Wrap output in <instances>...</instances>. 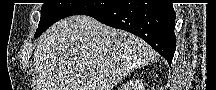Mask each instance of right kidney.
Segmentation results:
<instances>
[{"instance_id": "right-kidney-1", "label": "right kidney", "mask_w": 216, "mask_h": 90, "mask_svg": "<svg viewBox=\"0 0 216 90\" xmlns=\"http://www.w3.org/2000/svg\"><path fill=\"white\" fill-rule=\"evenodd\" d=\"M135 88H140V84H138V86H133V88H128L127 86V90H135Z\"/></svg>"}]
</instances>
